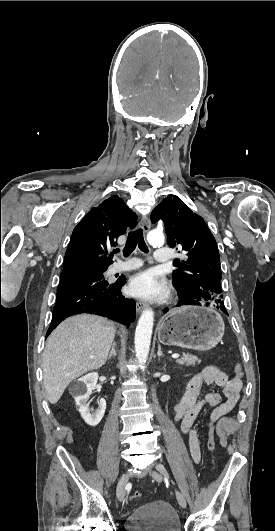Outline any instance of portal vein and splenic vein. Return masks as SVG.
<instances>
[{
	"label": "portal vein and splenic vein",
	"mask_w": 275,
	"mask_h": 531,
	"mask_svg": "<svg viewBox=\"0 0 275 531\" xmlns=\"http://www.w3.org/2000/svg\"><path fill=\"white\" fill-rule=\"evenodd\" d=\"M173 359H179L180 355H172Z\"/></svg>",
	"instance_id": "18ae733b"
}]
</instances>
